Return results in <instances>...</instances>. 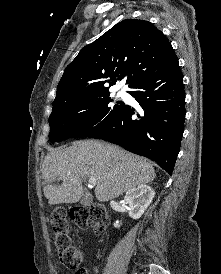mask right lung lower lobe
<instances>
[{"label": "right lung lower lobe", "mask_w": 221, "mask_h": 274, "mask_svg": "<svg viewBox=\"0 0 221 274\" xmlns=\"http://www.w3.org/2000/svg\"><path fill=\"white\" fill-rule=\"evenodd\" d=\"M129 92L144 115L133 120L134 109L124 105L105 127L89 137L103 139L152 159L172 174L185 120V92L178 60L142 80Z\"/></svg>", "instance_id": "obj_1"}]
</instances>
